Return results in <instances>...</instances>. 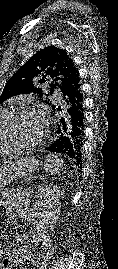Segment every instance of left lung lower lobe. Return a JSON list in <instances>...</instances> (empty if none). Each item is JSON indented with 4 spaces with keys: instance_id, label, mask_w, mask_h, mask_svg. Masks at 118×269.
I'll list each match as a JSON object with an SVG mask.
<instances>
[{
    "instance_id": "1",
    "label": "left lung lower lobe",
    "mask_w": 118,
    "mask_h": 269,
    "mask_svg": "<svg viewBox=\"0 0 118 269\" xmlns=\"http://www.w3.org/2000/svg\"><path fill=\"white\" fill-rule=\"evenodd\" d=\"M58 111L57 130L54 142L47 148L50 152L69 156L76 166L81 167L84 135V99L81 87L63 97Z\"/></svg>"
}]
</instances>
